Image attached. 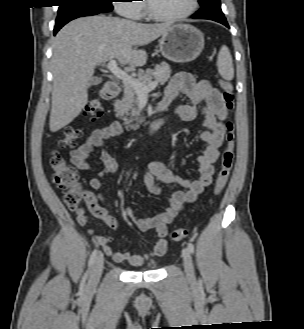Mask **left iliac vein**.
<instances>
[{"instance_id": "4c4485c4", "label": "left iliac vein", "mask_w": 304, "mask_h": 329, "mask_svg": "<svg viewBox=\"0 0 304 329\" xmlns=\"http://www.w3.org/2000/svg\"><path fill=\"white\" fill-rule=\"evenodd\" d=\"M182 255H183V264H184L186 276L190 282H193L195 280V275H194V267H193L190 251L187 248H185L183 249Z\"/></svg>"}]
</instances>
